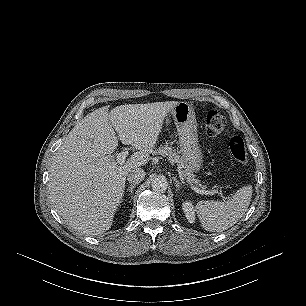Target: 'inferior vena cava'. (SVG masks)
Listing matches in <instances>:
<instances>
[{"label":"inferior vena cava","instance_id":"1","mask_svg":"<svg viewBox=\"0 0 306 306\" xmlns=\"http://www.w3.org/2000/svg\"><path fill=\"white\" fill-rule=\"evenodd\" d=\"M145 177V171L138 167L135 169H132L127 174V180L129 183L132 184H138L140 183Z\"/></svg>","mask_w":306,"mask_h":306}]
</instances>
